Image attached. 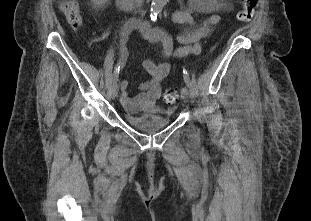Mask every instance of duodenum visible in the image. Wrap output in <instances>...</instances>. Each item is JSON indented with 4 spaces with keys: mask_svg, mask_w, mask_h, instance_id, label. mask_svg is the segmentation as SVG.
<instances>
[{
    "mask_svg": "<svg viewBox=\"0 0 311 221\" xmlns=\"http://www.w3.org/2000/svg\"><path fill=\"white\" fill-rule=\"evenodd\" d=\"M119 7L122 8H135L137 6H144L147 0H116ZM149 25L146 21H140L134 24V28L145 27Z\"/></svg>",
    "mask_w": 311,
    "mask_h": 221,
    "instance_id": "1",
    "label": "duodenum"
}]
</instances>
